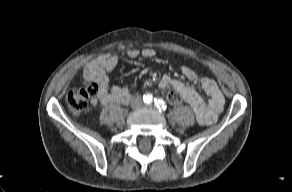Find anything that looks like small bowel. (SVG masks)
Here are the masks:
<instances>
[{
  "label": "small bowel",
  "mask_w": 292,
  "mask_h": 192,
  "mask_svg": "<svg viewBox=\"0 0 292 192\" xmlns=\"http://www.w3.org/2000/svg\"><path fill=\"white\" fill-rule=\"evenodd\" d=\"M142 55L145 58L155 56L152 48H144L139 51L130 49L126 52L127 58H136ZM117 55L109 56L101 61L89 64L84 70V77L87 81H95L99 84V93L93 99V105L102 104H126L131 98L132 88L130 86H109L108 74L112 72L118 63ZM183 75L191 84L199 83L207 95L204 99L192 85L183 83L179 80L164 76L160 81V87L174 91L184 102L189 104L193 109L198 122L201 125L214 123L221 113L225 99L215 80L200 75L195 69L182 67Z\"/></svg>",
  "instance_id": "1"
}]
</instances>
